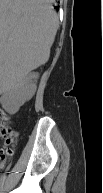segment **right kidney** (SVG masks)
Returning a JSON list of instances; mask_svg holds the SVG:
<instances>
[{"label": "right kidney", "mask_w": 103, "mask_h": 193, "mask_svg": "<svg viewBox=\"0 0 103 193\" xmlns=\"http://www.w3.org/2000/svg\"><path fill=\"white\" fill-rule=\"evenodd\" d=\"M38 73L26 72L9 78L3 85L1 105L9 114H15L19 108L32 98L36 91Z\"/></svg>", "instance_id": "obj_1"}]
</instances>
